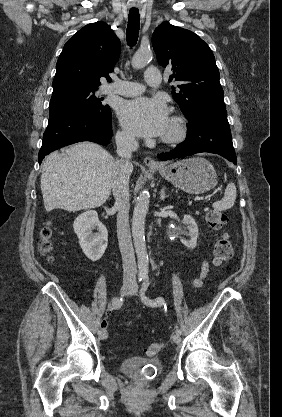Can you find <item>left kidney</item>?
I'll return each instance as SVG.
<instances>
[{
    "instance_id": "left-kidney-1",
    "label": "left kidney",
    "mask_w": 282,
    "mask_h": 417,
    "mask_svg": "<svg viewBox=\"0 0 282 417\" xmlns=\"http://www.w3.org/2000/svg\"><path fill=\"white\" fill-rule=\"evenodd\" d=\"M183 223L186 225L185 229L189 231L188 235H190V239L187 241V239L181 237L180 241L187 249H195L198 239V225L191 215H184Z\"/></svg>"
}]
</instances>
